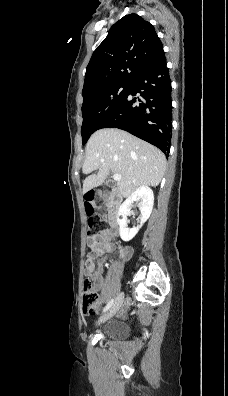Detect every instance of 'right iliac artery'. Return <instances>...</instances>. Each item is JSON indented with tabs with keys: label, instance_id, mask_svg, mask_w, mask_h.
I'll return each instance as SVG.
<instances>
[{
	"label": "right iliac artery",
	"instance_id": "82829eb1",
	"mask_svg": "<svg viewBox=\"0 0 228 396\" xmlns=\"http://www.w3.org/2000/svg\"><path fill=\"white\" fill-rule=\"evenodd\" d=\"M114 303V299H111V301L108 302V304L105 306L103 309V312H106Z\"/></svg>",
	"mask_w": 228,
	"mask_h": 396
}]
</instances>
